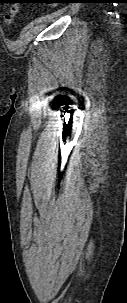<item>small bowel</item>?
I'll return each mask as SVG.
<instances>
[{"mask_svg":"<svg viewBox=\"0 0 127 303\" xmlns=\"http://www.w3.org/2000/svg\"><path fill=\"white\" fill-rule=\"evenodd\" d=\"M16 11V7H13L12 9H11V13H14Z\"/></svg>","mask_w":127,"mask_h":303,"instance_id":"1","label":"small bowel"}]
</instances>
